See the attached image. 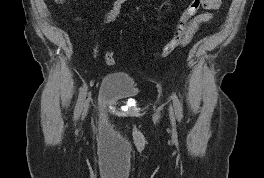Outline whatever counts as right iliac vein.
<instances>
[{"label":"right iliac vein","instance_id":"obj_1","mask_svg":"<svg viewBox=\"0 0 264 178\" xmlns=\"http://www.w3.org/2000/svg\"><path fill=\"white\" fill-rule=\"evenodd\" d=\"M88 108H89V102L86 101V102H85V105H84L83 115H86V113H87V111H88Z\"/></svg>","mask_w":264,"mask_h":178}]
</instances>
